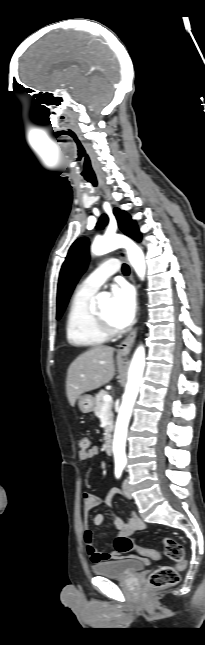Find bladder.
<instances>
[{
    "label": "bladder",
    "mask_w": 205,
    "mask_h": 645,
    "mask_svg": "<svg viewBox=\"0 0 205 645\" xmlns=\"http://www.w3.org/2000/svg\"><path fill=\"white\" fill-rule=\"evenodd\" d=\"M144 567L141 560L127 558L95 563L92 570L97 575L125 579L142 571Z\"/></svg>",
    "instance_id": "obj_1"
}]
</instances>
